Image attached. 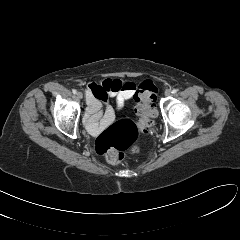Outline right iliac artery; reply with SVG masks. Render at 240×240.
<instances>
[{
    "mask_svg": "<svg viewBox=\"0 0 240 240\" xmlns=\"http://www.w3.org/2000/svg\"><path fill=\"white\" fill-rule=\"evenodd\" d=\"M72 92H73L74 94H76V93H77V90H76V89H73Z\"/></svg>",
    "mask_w": 240,
    "mask_h": 240,
    "instance_id": "right-iliac-artery-1",
    "label": "right iliac artery"
}]
</instances>
